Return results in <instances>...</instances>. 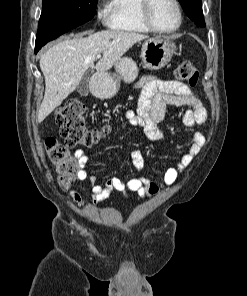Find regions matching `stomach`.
I'll list each match as a JSON object with an SVG mask.
<instances>
[{"label":"stomach","instance_id":"obj_1","mask_svg":"<svg viewBox=\"0 0 247 296\" xmlns=\"http://www.w3.org/2000/svg\"><path fill=\"white\" fill-rule=\"evenodd\" d=\"M176 51L175 43L169 37L147 39L141 48V58L145 68L159 70L167 65ZM117 76L97 73L93 77V93L101 99L113 97L120 87V80L132 82L138 75V68L131 58L123 57L115 63Z\"/></svg>","mask_w":247,"mask_h":296}]
</instances>
